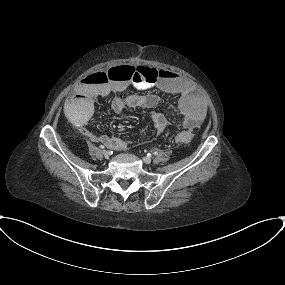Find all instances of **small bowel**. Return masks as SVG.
<instances>
[{
  "mask_svg": "<svg viewBox=\"0 0 285 285\" xmlns=\"http://www.w3.org/2000/svg\"><path fill=\"white\" fill-rule=\"evenodd\" d=\"M121 66L127 65H120L113 68ZM98 72L106 74L108 70H100ZM132 85L137 86L141 90L157 89L176 96L178 100L175 110L180 116L184 133L191 135V132L205 119L206 112L202 98L197 94L191 81L169 70H161L157 81L153 82L141 81L139 83H130L120 79L109 78L105 84H96L83 79L76 91L65 100L64 113L70 122L76 125L85 136L101 141L113 150H125L130 145L129 140L109 136L96 137L85 129L84 125L93 114L94 100L96 98L108 96L111 93L123 92ZM161 103V98L153 93L143 95L133 94L115 97L111 102V109L115 113H122L128 108L155 109ZM171 109L173 108L171 107ZM151 119L157 135L163 133L168 127V119L162 113L153 112Z\"/></svg>",
  "mask_w": 285,
  "mask_h": 285,
  "instance_id": "c3829d8e",
  "label": "small bowel"
}]
</instances>
